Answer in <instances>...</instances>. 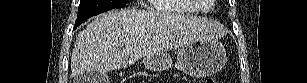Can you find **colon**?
I'll use <instances>...</instances> for the list:
<instances>
[{"label":"colon","instance_id":"colon-1","mask_svg":"<svg viewBox=\"0 0 307 83\" xmlns=\"http://www.w3.org/2000/svg\"><path fill=\"white\" fill-rule=\"evenodd\" d=\"M204 82L205 83H215L216 81L212 78H209V79H206Z\"/></svg>","mask_w":307,"mask_h":83}]
</instances>
